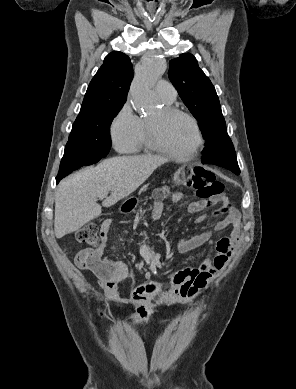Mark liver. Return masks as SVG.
<instances>
[{
	"label": "liver",
	"instance_id": "obj_1",
	"mask_svg": "<svg viewBox=\"0 0 296 389\" xmlns=\"http://www.w3.org/2000/svg\"><path fill=\"white\" fill-rule=\"evenodd\" d=\"M166 162L157 155L114 157L62 180L55 198L56 238L78 231L97 218L102 206L110 207L133 193ZM109 192L111 194L103 200L102 206L98 204L97 199Z\"/></svg>",
	"mask_w": 296,
	"mask_h": 389
}]
</instances>
